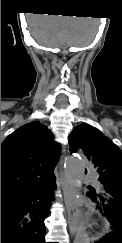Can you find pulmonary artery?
<instances>
[{
    "label": "pulmonary artery",
    "mask_w": 122,
    "mask_h": 243,
    "mask_svg": "<svg viewBox=\"0 0 122 243\" xmlns=\"http://www.w3.org/2000/svg\"><path fill=\"white\" fill-rule=\"evenodd\" d=\"M85 179L93 182L95 185H99V182L97 181V179L90 174L86 175Z\"/></svg>",
    "instance_id": "pulmonary-artery-1"
}]
</instances>
